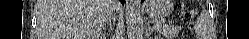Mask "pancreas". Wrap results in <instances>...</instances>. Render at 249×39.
<instances>
[{"instance_id":"1","label":"pancreas","mask_w":249,"mask_h":39,"mask_svg":"<svg viewBox=\"0 0 249 39\" xmlns=\"http://www.w3.org/2000/svg\"><path fill=\"white\" fill-rule=\"evenodd\" d=\"M157 29L168 36H176L179 34L180 28L177 26H167L163 22L158 23Z\"/></svg>"}]
</instances>
